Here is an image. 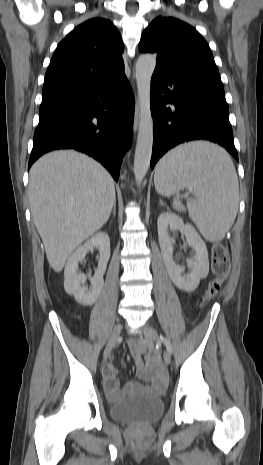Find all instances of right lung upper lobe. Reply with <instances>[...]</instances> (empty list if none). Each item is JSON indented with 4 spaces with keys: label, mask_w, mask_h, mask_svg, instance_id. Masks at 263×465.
Wrapping results in <instances>:
<instances>
[{
    "label": "right lung upper lobe",
    "mask_w": 263,
    "mask_h": 465,
    "mask_svg": "<svg viewBox=\"0 0 263 465\" xmlns=\"http://www.w3.org/2000/svg\"><path fill=\"white\" fill-rule=\"evenodd\" d=\"M123 49L121 36L112 22L93 18L77 26L53 54L42 98L118 81L125 75Z\"/></svg>",
    "instance_id": "1"
}]
</instances>
